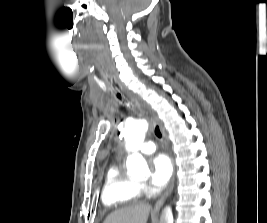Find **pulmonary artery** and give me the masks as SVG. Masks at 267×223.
I'll list each match as a JSON object with an SVG mask.
<instances>
[{
	"mask_svg": "<svg viewBox=\"0 0 267 223\" xmlns=\"http://www.w3.org/2000/svg\"><path fill=\"white\" fill-rule=\"evenodd\" d=\"M156 149V143L154 141H146L142 146L138 148V151L142 153H152Z\"/></svg>",
	"mask_w": 267,
	"mask_h": 223,
	"instance_id": "e3ab8cb5",
	"label": "pulmonary artery"
}]
</instances>
